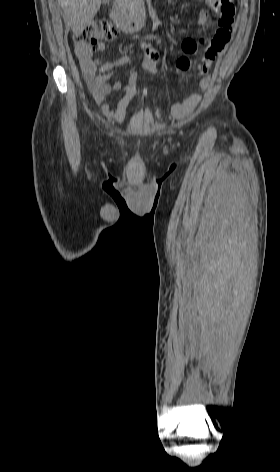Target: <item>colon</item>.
<instances>
[{"mask_svg":"<svg viewBox=\"0 0 280 472\" xmlns=\"http://www.w3.org/2000/svg\"><path fill=\"white\" fill-rule=\"evenodd\" d=\"M238 0H213L212 7L219 13L218 25H229L233 21ZM119 36V30L107 21H94L84 30L74 35L76 44L85 45L91 49L99 46L102 40H112ZM177 68L181 73H188L191 62L179 59Z\"/></svg>","mask_w":280,"mask_h":472,"instance_id":"obj_1","label":"colon"}]
</instances>
